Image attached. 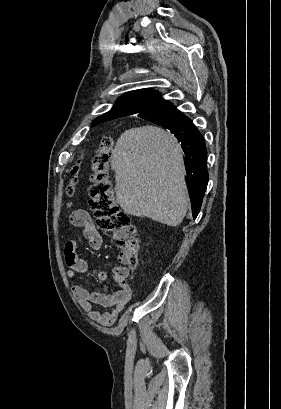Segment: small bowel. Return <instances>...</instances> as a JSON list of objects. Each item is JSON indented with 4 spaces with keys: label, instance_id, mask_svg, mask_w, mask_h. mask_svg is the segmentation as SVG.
<instances>
[{
    "label": "small bowel",
    "instance_id": "small-bowel-1",
    "mask_svg": "<svg viewBox=\"0 0 281 409\" xmlns=\"http://www.w3.org/2000/svg\"><path fill=\"white\" fill-rule=\"evenodd\" d=\"M70 223L75 227L82 228L83 235L92 250L98 251L102 246V238L89 213L83 209L74 210L70 215ZM64 257L69 267V276L74 273H84L88 270V264L85 260L78 257L76 253V242L68 241L65 245ZM130 268L123 265L114 266L109 273L106 270L97 272V280L105 282L112 279L119 289L107 294L89 290L83 286H74L73 293L78 300L81 308L88 312L89 317L104 326H110L115 323L120 313L125 309L132 297V288L128 283ZM107 309L101 312L94 306Z\"/></svg>",
    "mask_w": 281,
    "mask_h": 409
}]
</instances>
